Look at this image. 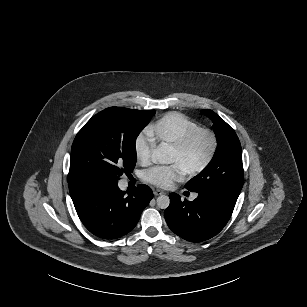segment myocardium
<instances>
[{"instance_id": "1", "label": "myocardium", "mask_w": 307, "mask_h": 307, "mask_svg": "<svg viewBox=\"0 0 307 307\" xmlns=\"http://www.w3.org/2000/svg\"><path fill=\"white\" fill-rule=\"evenodd\" d=\"M202 137L209 140V151L199 164L186 170L190 175H197L204 171L215 158L219 148V138L217 134L209 129H201L189 135L179 143L169 145L172 151L176 153H184Z\"/></svg>"}]
</instances>
